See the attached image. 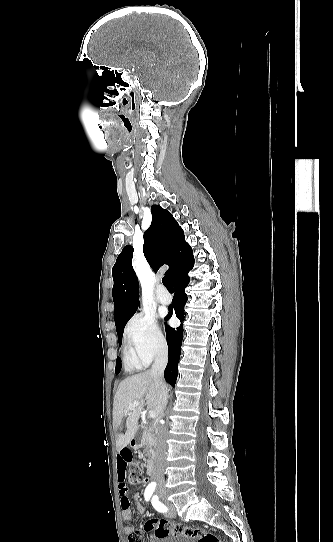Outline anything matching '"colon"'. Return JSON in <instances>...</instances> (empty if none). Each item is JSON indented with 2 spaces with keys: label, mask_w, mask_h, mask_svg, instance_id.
<instances>
[{
  "label": "colon",
  "mask_w": 333,
  "mask_h": 542,
  "mask_svg": "<svg viewBox=\"0 0 333 542\" xmlns=\"http://www.w3.org/2000/svg\"><path fill=\"white\" fill-rule=\"evenodd\" d=\"M131 452L133 454L132 450ZM129 472L130 482L134 485L141 484L146 479L144 467L134 461ZM144 527L146 532L152 531L157 539H163L171 535L182 537L189 542H230L229 536H218L200 527L186 526L182 523H171L166 519H148ZM128 538V542H147V538H144L140 531H131Z\"/></svg>",
  "instance_id": "1"
}]
</instances>
